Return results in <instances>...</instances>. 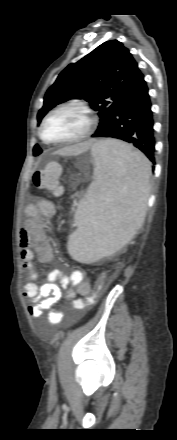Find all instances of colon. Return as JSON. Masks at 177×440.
Here are the masks:
<instances>
[{
  "label": "colon",
  "mask_w": 177,
  "mask_h": 440,
  "mask_svg": "<svg viewBox=\"0 0 177 440\" xmlns=\"http://www.w3.org/2000/svg\"><path fill=\"white\" fill-rule=\"evenodd\" d=\"M60 174L61 167L56 163H52L44 170L35 171L32 176V182L37 188L48 190L54 195H60L62 192V187L59 183ZM101 292L102 289L96 287L91 294L86 295L84 298H73L72 310L82 311L84 306L92 305L98 299Z\"/></svg>",
  "instance_id": "colon-1"
}]
</instances>
